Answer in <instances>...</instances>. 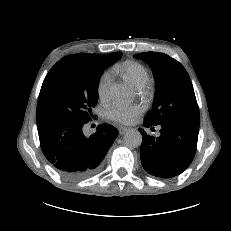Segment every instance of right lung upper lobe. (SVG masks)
<instances>
[{
	"instance_id": "cb5924a9",
	"label": "right lung upper lobe",
	"mask_w": 231,
	"mask_h": 231,
	"mask_svg": "<svg viewBox=\"0 0 231 231\" xmlns=\"http://www.w3.org/2000/svg\"><path fill=\"white\" fill-rule=\"evenodd\" d=\"M73 55H89V56H96V55H104V54H86V53H78Z\"/></svg>"
}]
</instances>
